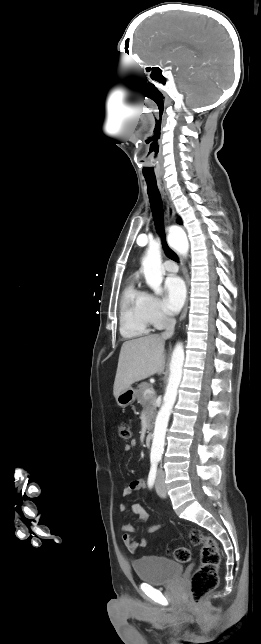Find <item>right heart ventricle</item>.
<instances>
[{"mask_svg":"<svg viewBox=\"0 0 261 644\" xmlns=\"http://www.w3.org/2000/svg\"><path fill=\"white\" fill-rule=\"evenodd\" d=\"M120 313V331L124 337L135 338L150 333L152 322L148 313V295L134 282L123 291Z\"/></svg>","mask_w":261,"mask_h":644,"instance_id":"right-heart-ventricle-1","label":"right heart ventricle"}]
</instances>
